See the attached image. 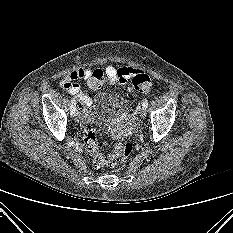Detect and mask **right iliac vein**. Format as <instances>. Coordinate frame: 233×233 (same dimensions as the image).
Segmentation results:
<instances>
[{
	"mask_svg": "<svg viewBox=\"0 0 233 233\" xmlns=\"http://www.w3.org/2000/svg\"><path fill=\"white\" fill-rule=\"evenodd\" d=\"M74 117H75V121L78 122L80 119V112L77 108H76V111L74 113Z\"/></svg>",
	"mask_w": 233,
	"mask_h": 233,
	"instance_id": "right-iliac-vein-1",
	"label": "right iliac vein"
}]
</instances>
